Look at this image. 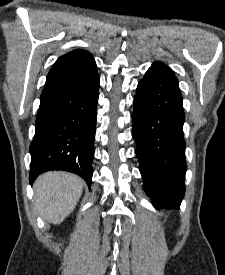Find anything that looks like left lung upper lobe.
<instances>
[{"mask_svg": "<svg viewBox=\"0 0 225 275\" xmlns=\"http://www.w3.org/2000/svg\"><path fill=\"white\" fill-rule=\"evenodd\" d=\"M150 69H153V70H155V71H158V72H160L161 74L166 75V76H168V77H170V78H172V79L178 81L177 78L175 77L174 72L172 71V69L169 68V67H167V66H166L165 64H163V63L156 62V63H154V64L152 65V67H151Z\"/></svg>", "mask_w": 225, "mask_h": 275, "instance_id": "5c2ea615", "label": "left lung upper lobe"}]
</instances>
